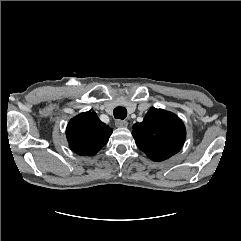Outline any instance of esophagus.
I'll return each instance as SVG.
<instances>
[{"mask_svg":"<svg viewBox=\"0 0 241 241\" xmlns=\"http://www.w3.org/2000/svg\"><path fill=\"white\" fill-rule=\"evenodd\" d=\"M115 125H116V127H119V128L127 127L128 126V122L125 121V120H116L115 121Z\"/></svg>","mask_w":241,"mask_h":241,"instance_id":"obj_1","label":"esophagus"}]
</instances>
